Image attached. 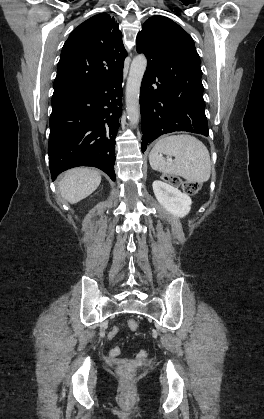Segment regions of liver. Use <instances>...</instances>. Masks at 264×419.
Listing matches in <instances>:
<instances>
[{
	"instance_id": "obj_1",
	"label": "liver",
	"mask_w": 264,
	"mask_h": 419,
	"mask_svg": "<svg viewBox=\"0 0 264 419\" xmlns=\"http://www.w3.org/2000/svg\"><path fill=\"white\" fill-rule=\"evenodd\" d=\"M101 183V174L95 169L79 167L65 172L59 183L61 196L75 204L91 195Z\"/></svg>"
}]
</instances>
